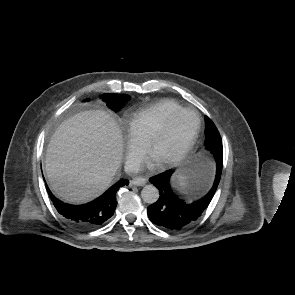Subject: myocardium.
<instances>
[{
  "mask_svg": "<svg viewBox=\"0 0 295 295\" xmlns=\"http://www.w3.org/2000/svg\"><path fill=\"white\" fill-rule=\"evenodd\" d=\"M182 115H192L195 120V126L192 134L190 135L188 141L184 145V147L172 158L161 161L158 163L159 168H167L182 162L193 149L201 128L200 118L198 114L191 109H182L176 113H174L164 124L163 126L152 136V138L147 143V155L152 157V153L155 147L159 144V142L165 137V135L171 129L173 123Z\"/></svg>",
  "mask_w": 295,
  "mask_h": 295,
  "instance_id": "obj_1",
  "label": "myocardium"
}]
</instances>
